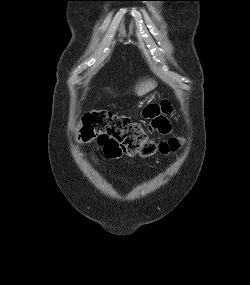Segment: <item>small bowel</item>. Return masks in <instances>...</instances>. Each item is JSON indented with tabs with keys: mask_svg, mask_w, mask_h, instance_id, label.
<instances>
[{
	"mask_svg": "<svg viewBox=\"0 0 250 285\" xmlns=\"http://www.w3.org/2000/svg\"><path fill=\"white\" fill-rule=\"evenodd\" d=\"M170 110V106L166 102L160 106L149 105L144 111V116L151 120V128H148L147 132L157 133L159 130L163 133H170V125L166 117Z\"/></svg>",
	"mask_w": 250,
	"mask_h": 285,
	"instance_id": "obj_1",
	"label": "small bowel"
}]
</instances>
